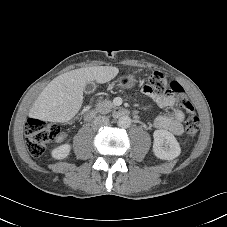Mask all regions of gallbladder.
Returning a JSON list of instances; mask_svg holds the SVG:
<instances>
[{
  "label": "gallbladder",
  "instance_id": "gallbladder-1",
  "mask_svg": "<svg viewBox=\"0 0 227 227\" xmlns=\"http://www.w3.org/2000/svg\"><path fill=\"white\" fill-rule=\"evenodd\" d=\"M95 90H96V84L94 82H88L84 87L85 93H92Z\"/></svg>",
  "mask_w": 227,
  "mask_h": 227
}]
</instances>
